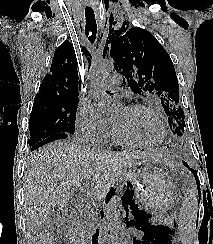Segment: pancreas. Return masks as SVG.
<instances>
[{
  "label": "pancreas",
  "instance_id": "cf45deb5",
  "mask_svg": "<svg viewBox=\"0 0 213 244\" xmlns=\"http://www.w3.org/2000/svg\"><path fill=\"white\" fill-rule=\"evenodd\" d=\"M94 230L93 222L89 219H85L79 230L80 239L88 242ZM84 244V243H83ZM86 244V243H85Z\"/></svg>",
  "mask_w": 213,
  "mask_h": 244
}]
</instances>
